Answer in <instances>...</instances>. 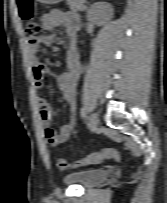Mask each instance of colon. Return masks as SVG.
Returning <instances> with one entry per match:
<instances>
[{
    "mask_svg": "<svg viewBox=\"0 0 167 203\" xmlns=\"http://www.w3.org/2000/svg\"><path fill=\"white\" fill-rule=\"evenodd\" d=\"M17 8L19 16L25 21V34L28 37L37 36L41 27L39 23L34 19V5L32 0H17ZM120 160V153L116 149H107L101 152L88 154L80 160L73 163H69L66 159L58 158L56 166L60 170H67L71 167H78L83 165L98 164L105 160Z\"/></svg>",
    "mask_w": 167,
    "mask_h": 203,
    "instance_id": "obj_1",
    "label": "colon"
}]
</instances>
